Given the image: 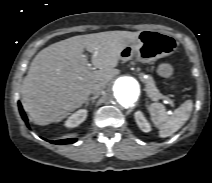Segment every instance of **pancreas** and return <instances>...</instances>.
<instances>
[{"mask_svg": "<svg viewBox=\"0 0 212 183\" xmlns=\"http://www.w3.org/2000/svg\"><path fill=\"white\" fill-rule=\"evenodd\" d=\"M144 83L148 97H150L153 101L159 100L162 95L156 88L153 78L148 77L146 80H144Z\"/></svg>", "mask_w": 212, "mask_h": 183, "instance_id": "cf45deb5", "label": "pancreas"}]
</instances>
